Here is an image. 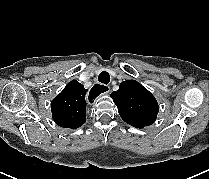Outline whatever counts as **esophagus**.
Masks as SVG:
<instances>
[{
  "instance_id": "obj_1",
  "label": "esophagus",
  "mask_w": 209,
  "mask_h": 179,
  "mask_svg": "<svg viewBox=\"0 0 209 179\" xmlns=\"http://www.w3.org/2000/svg\"><path fill=\"white\" fill-rule=\"evenodd\" d=\"M103 92V94H108L110 92V86L105 85H99V84H95L92 89L90 90V95L88 97V102L89 103H94L96 100V97L101 94Z\"/></svg>"
}]
</instances>
